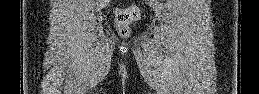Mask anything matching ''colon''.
Segmentation results:
<instances>
[{
  "mask_svg": "<svg viewBox=\"0 0 259 94\" xmlns=\"http://www.w3.org/2000/svg\"><path fill=\"white\" fill-rule=\"evenodd\" d=\"M139 18V9L136 5H130L127 8L119 9L116 12V21L120 27L122 35L128 33V26L131 22Z\"/></svg>",
  "mask_w": 259,
  "mask_h": 94,
  "instance_id": "1",
  "label": "colon"
}]
</instances>
